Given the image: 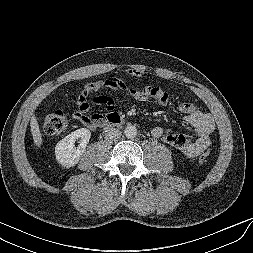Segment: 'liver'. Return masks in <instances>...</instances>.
I'll return each instance as SVG.
<instances>
[{"mask_svg": "<svg viewBox=\"0 0 253 253\" xmlns=\"http://www.w3.org/2000/svg\"><path fill=\"white\" fill-rule=\"evenodd\" d=\"M31 133L33 136V141L37 147H41L42 145V135L40 132L39 124L37 122L36 117L33 115L30 120Z\"/></svg>", "mask_w": 253, "mask_h": 253, "instance_id": "liver-1", "label": "liver"}]
</instances>
